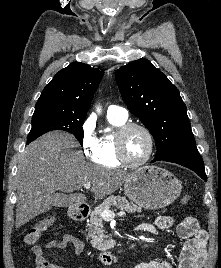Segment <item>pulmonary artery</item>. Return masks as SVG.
<instances>
[{
    "label": "pulmonary artery",
    "mask_w": 221,
    "mask_h": 268,
    "mask_svg": "<svg viewBox=\"0 0 221 268\" xmlns=\"http://www.w3.org/2000/svg\"><path fill=\"white\" fill-rule=\"evenodd\" d=\"M108 117L126 120L128 118V111L118 105H110L107 109Z\"/></svg>",
    "instance_id": "pulmonary-artery-1"
}]
</instances>
